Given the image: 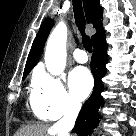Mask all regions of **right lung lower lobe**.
<instances>
[{
  "instance_id": "right-lung-lower-lobe-1",
  "label": "right lung lower lobe",
  "mask_w": 136,
  "mask_h": 136,
  "mask_svg": "<svg viewBox=\"0 0 136 136\" xmlns=\"http://www.w3.org/2000/svg\"><path fill=\"white\" fill-rule=\"evenodd\" d=\"M94 52L91 59V69L95 79V86L93 93L89 99L84 103L78 118L76 120L73 133L79 136H86L92 133L99 121L98 109L102 105L103 99L101 92L103 91V83L101 79L106 73L105 64L108 60L107 44L105 37L100 38L94 44Z\"/></svg>"
}]
</instances>
